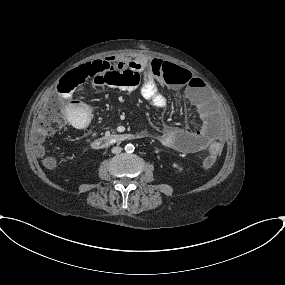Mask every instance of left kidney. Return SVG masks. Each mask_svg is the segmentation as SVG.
<instances>
[{"mask_svg": "<svg viewBox=\"0 0 285 285\" xmlns=\"http://www.w3.org/2000/svg\"><path fill=\"white\" fill-rule=\"evenodd\" d=\"M172 167L175 168V169H178L179 172L182 171V167L179 166L177 163H173V164H172Z\"/></svg>", "mask_w": 285, "mask_h": 285, "instance_id": "1", "label": "left kidney"}]
</instances>
